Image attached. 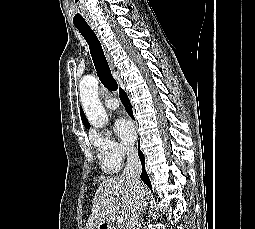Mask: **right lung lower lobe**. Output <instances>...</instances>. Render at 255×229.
Here are the masks:
<instances>
[{"mask_svg": "<svg viewBox=\"0 0 255 229\" xmlns=\"http://www.w3.org/2000/svg\"><path fill=\"white\" fill-rule=\"evenodd\" d=\"M119 94H120V99L127 111V113L131 116H132V105L130 104V101L127 97V94L124 92V90L120 89L119 90ZM138 154H139V158L141 160V163H142V167H143V170H142V174H141V179L146 183V185L152 189V186H151V183H150V180H149V177L145 171V158H144V155L143 153L138 150Z\"/></svg>", "mask_w": 255, "mask_h": 229, "instance_id": "1", "label": "right lung lower lobe"}]
</instances>
